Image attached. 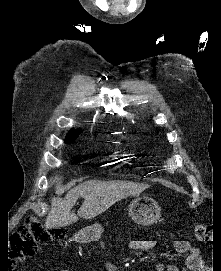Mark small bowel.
<instances>
[{"label": "small bowel", "mask_w": 221, "mask_h": 271, "mask_svg": "<svg viewBox=\"0 0 221 271\" xmlns=\"http://www.w3.org/2000/svg\"><path fill=\"white\" fill-rule=\"evenodd\" d=\"M156 242L151 239L132 240L129 242L128 247L132 251H149L153 249ZM174 248L178 253H186L185 260L186 267L190 271H205V266L201 258L200 249L192 246L187 240H175L173 242ZM108 271H118L119 269L114 265H108ZM151 271H179L174 265L157 264Z\"/></svg>", "instance_id": "1"}]
</instances>
